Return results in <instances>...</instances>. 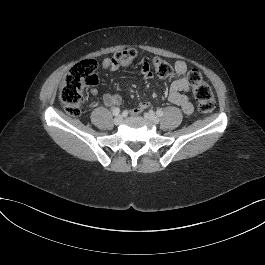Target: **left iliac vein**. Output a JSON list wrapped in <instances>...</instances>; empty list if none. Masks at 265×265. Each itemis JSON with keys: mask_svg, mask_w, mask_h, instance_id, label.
Instances as JSON below:
<instances>
[{"mask_svg": "<svg viewBox=\"0 0 265 265\" xmlns=\"http://www.w3.org/2000/svg\"><path fill=\"white\" fill-rule=\"evenodd\" d=\"M144 117L154 124H158L160 119L154 113H144Z\"/></svg>", "mask_w": 265, "mask_h": 265, "instance_id": "left-iliac-vein-1", "label": "left iliac vein"}]
</instances>
